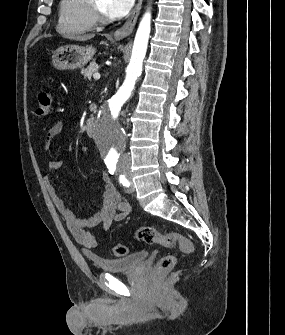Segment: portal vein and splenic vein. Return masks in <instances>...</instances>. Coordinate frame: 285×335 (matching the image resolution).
<instances>
[{
  "mask_svg": "<svg viewBox=\"0 0 285 335\" xmlns=\"http://www.w3.org/2000/svg\"><path fill=\"white\" fill-rule=\"evenodd\" d=\"M94 80H100V74H93Z\"/></svg>",
  "mask_w": 285,
  "mask_h": 335,
  "instance_id": "obj_1",
  "label": "portal vein and splenic vein"
}]
</instances>
